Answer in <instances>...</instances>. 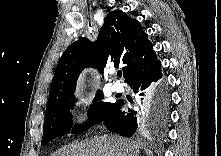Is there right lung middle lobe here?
I'll list each match as a JSON object with an SVG mask.
<instances>
[{
  "mask_svg": "<svg viewBox=\"0 0 221 156\" xmlns=\"http://www.w3.org/2000/svg\"><path fill=\"white\" fill-rule=\"evenodd\" d=\"M103 98L104 95L102 91H97L93 104L88 109L90 122L81 126L75 125L73 134L84 132L95 124L103 122L115 111L120 103V100L115 103L100 101ZM75 102V96L73 92H71L46 108L41 145H45L52 139L62 136L71 128L70 119L72 116L69 112L70 109L73 108Z\"/></svg>",
  "mask_w": 221,
  "mask_h": 156,
  "instance_id": "right-lung-middle-lobe-1",
  "label": "right lung middle lobe"
}]
</instances>
